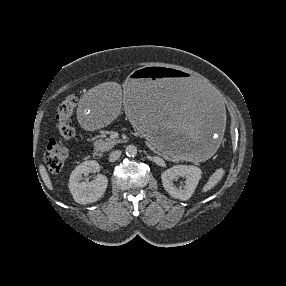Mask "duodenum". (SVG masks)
Returning a JSON list of instances; mask_svg holds the SVG:
<instances>
[{
    "mask_svg": "<svg viewBox=\"0 0 286 286\" xmlns=\"http://www.w3.org/2000/svg\"><path fill=\"white\" fill-rule=\"evenodd\" d=\"M92 155L95 159H101L103 156L102 152L99 149H94Z\"/></svg>",
    "mask_w": 286,
    "mask_h": 286,
    "instance_id": "duodenum-1",
    "label": "duodenum"
}]
</instances>
